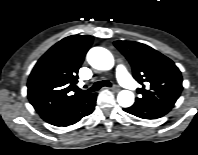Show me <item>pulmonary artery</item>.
<instances>
[{
	"label": "pulmonary artery",
	"instance_id": "obj_1",
	"mask_svg": "<svg viewBox=\"0 0 198 155\" xmlns=\"http://www.w3.org/2000/svg\"><path fill=\"white\" fill-rule=\"evenodd\" d=\"M116 77L119 82L127 89L133 90L137 87L136 82L131 78L128 70L122 64H118L114 68Z\"/></svg>",
	"mask_w": 198,
	"mask_h": 155
}]
</instances>
